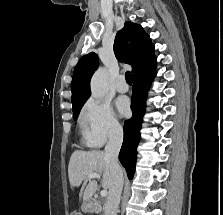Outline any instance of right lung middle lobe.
<instances>
[{"mask_svg":"<svg viewBox=\"0 0 223 215\" xmlns=\"http://www.w3.org/2000/svg\"><path fill=\"white\" fill-rule=\"evenodd\" d=\"M81 107H82V106H79L78 108L73 109V115H74V119H75V120L77 119V117H78V115H79V112H80V110H81Z\"/></svg>","mask_w":223,"mask_h":215,"instance_id":"1","label":"right lung middle lobe"}]
</instances>
